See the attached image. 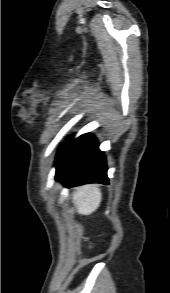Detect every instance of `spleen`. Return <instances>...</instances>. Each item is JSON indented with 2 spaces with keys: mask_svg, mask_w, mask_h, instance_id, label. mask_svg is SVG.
Returning a JSON list of instances; mask_svg holds the SVG:
<instances>
[{
  "mask_svg": "<svg viewBox=\"0 0 170 293\" xmlns=\"http://www.w3.org/2000/svg\"><path fill=\"white\" fill-rule=\"evenodd\" d=\"M101 199V190L96 185L82 186L73 195L77 212L82 215L93 213L99 207Z\"/></svg>",
  "mask_w": 170,
  "mask_h": 293,
  "instance_id": "3e777b00",
  "label": "spleen"
}]
</instances>
